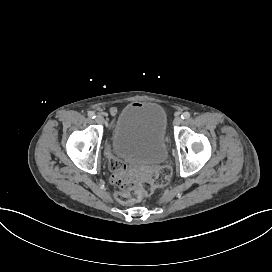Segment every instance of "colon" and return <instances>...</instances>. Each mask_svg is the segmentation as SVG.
Here are the masks:
<instances>
[{
    "mask_svg": "<svg viewBox=\"0 0 272 272\" xmlns=\"http://www.w3.org/2000/svg\"><path fill=\"white\" fill-rule=\"evenodd\" d=\"M109 166L113 181L119 186L115 200L120 205L136 201L140 196H149L153 188L165 185L172 174V170L168 167L156 169L149 176L131 173L122 160H114Z\"/></svg>",
    "mask_w": 272,
    "mask_h": 272,
    "instance_id": "5ec220e1",
    "label": "colon"
}]
</instances>
